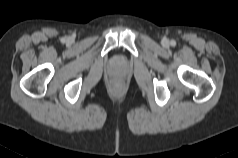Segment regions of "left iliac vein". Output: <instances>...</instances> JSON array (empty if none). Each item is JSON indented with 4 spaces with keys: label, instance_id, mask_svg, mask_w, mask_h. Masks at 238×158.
Returning <instances> with one entry per match:
<instances>
[{
    "label": "left iliac vein",
    "instance_id": "obj_1",
    "mask_svg": "<svg viewBox=\"0 0 238 158\" xmlns=\"http://www.w3.org/2000/svg\"><path fill=\"white\" fill-rule=\"evenodd\" d=\"M163 44L165 45V46H167L168 44H169V42H168V40H163Z\"/></svg>",
    "mask_w": 238,
    "mask_h": 158
}]
</instances>
